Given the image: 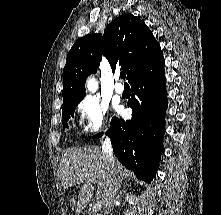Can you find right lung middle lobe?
I'll list each match as a JSON object with an SVG mask.
<instances>
[{
  "label": "right lung middle lobe",
  "instance_id": "dd1d6c3e",
  "mask_svg": "<svg viewBox=\"0 0 221 215\" xmlns=\"http://www.w3.org/2000/svg\"><path fill=\"white\" fill-rule=\"evenodd\" d=\"M80 103V101H71L64 103L62 106V121H63V127H68V124L66 123L70 116L74 117V111L76 106ZM113 120V119H112Z\"/></svg>",
  "mask_w": 221,
  "mask_h": 215
}]
</instances>
